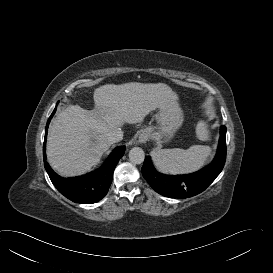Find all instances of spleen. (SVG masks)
Masks as SVG:
<instances>
[{
	"instance_id": "1",
	"label": "spleen",
	"mask_w": 273,
	"mask_h": 273,
	"mask_svg": "<svg viewBox=\"0 0 273 273\" xmlns=\"http://www.w3.org/2000/svg\"><path fill=\"white\" fill-rule=\"evenodd\" d=\"M197 137L209 139V131L205 122L200 121L196 127ZM211 148L203 145H193L189 149H165L154 153L155 164L165 172H187L199 168L210 155Z\"/></svg>"
}]
</instances>
